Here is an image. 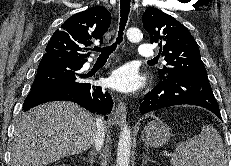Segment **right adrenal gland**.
Segmentation results:
<instances>
[{"label":"right adrenal gland","instance_id":"1","mask_svg":"<svg viewBox=\"0 0 231 166\" xmlns=\"http://www.w3.org/2000/svg\"><path fill=\"white\" fill-rule=\"evenodd\" d=\"M94 156H95V152L90 151L89 159L83 158V160H87L90 163V166H93L95 162Z\"/></svg>","mask_w":231,"mask_h":166}]
</instances>
